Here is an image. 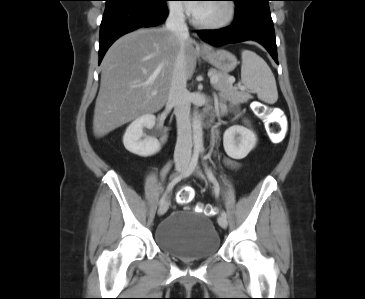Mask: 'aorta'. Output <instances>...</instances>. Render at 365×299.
<instances>
[{
    "label": "aorta",
    "instance_id": "aorta-1",
    "mask_svg": "<svg viewBox=\"0 0 365 299\" xmlns=\"http://www.w3.org/2000/svg\"><path fill=\"white\" fill-rule=\"evenodd\" d=\"M193 143L196 148L203 147L202 122L198 111H194L192 118Z\"/></svg>",
    "mask_w": 365,
    "mask_h": 299
}]
</instances>
